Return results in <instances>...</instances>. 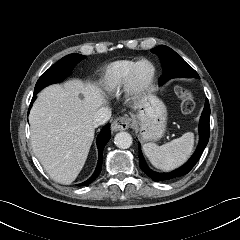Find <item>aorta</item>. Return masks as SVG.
<instances>
[{
    "label": "aorta",
    "mask_w": 240,
    "mask_h": 240,
    "mask_svg": "<svg viewBox=\"0 0 240 240\" xmlns=\"http://www.w3.org/2000/svg\"><path fill=\"white\" fill-rule=\"evenodd\" d=\"M132 136L128 132H119L115 135L114 143L118 148L127 149L132 145Z\"/></svg>",
    "instance_id": "1"
}]
</instances>
